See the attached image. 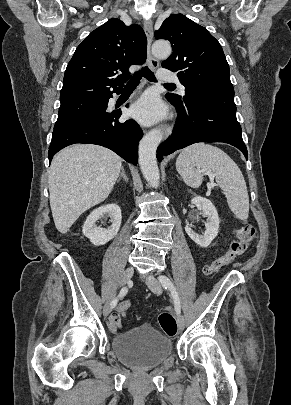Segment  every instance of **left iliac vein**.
I'll return each instance as SVG.
<instances>
[{
  "mask_svg": "<svg viewBox=\"0 0 291 405\" xmlns=\"http://www.w3.org/2000/svg\"><path fill=\"white\" fill-rule=\"evenodd\" d=\"M145 282H146L148 288L153 293H155V294L161 293L162 286H161L160 282L152 274L146 275ZM177 324H178V328L180 331L184 329V326H185L184 318L180 314H178V316H177Z\"/></svg>",
  "mask_w": 291,
  "mask_h": 405,
  "instance_id": "left-iliac-vein-1",
  "label": "left iliac vein"
}]
</instances>
